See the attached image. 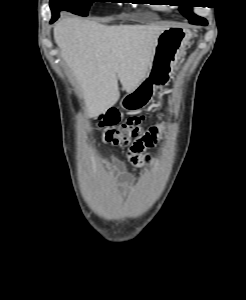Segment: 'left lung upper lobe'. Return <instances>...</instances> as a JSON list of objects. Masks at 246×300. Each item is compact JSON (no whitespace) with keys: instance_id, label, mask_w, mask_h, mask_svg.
Returning <instances> with one entry per match:
<instances>
[{"instance_id":"obj_1","label":"left lung upper lobe","mask_w":246,"mask_h":300,"mask_svg":"<svg viewBox=\"0 0 246 300\" xmlns=\"http://www.w3.org/2000/svg\"><path fill=\"white\" fill-rule=\"evenodd\" d=\"M186 4L183 6H180V11L183 13L184 16H186L190 23L196 24V25H207V20L199 17L192 12V7L189 4H193L196 1L191 0H185Z\"/></svg>"}]
</instances>
